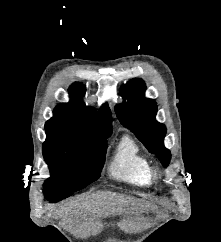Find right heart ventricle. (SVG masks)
<instances>
[{"label": "right heart ventricle", "mask_w": 221, "mask_h": 242, "mask_svg": "<svg viewBox=\"0 0 221 242\" xmlns=\"http://www.w3.org/2000/svg\"><path fill=\"white\" fill-rule=\"evenodd\" d=\"M150 160L142 147L129 135L118 142L108 165L110 179L138 188L151 185Z\"/></svg>", "instance_id": "e07e8e85"}]
</instances>
